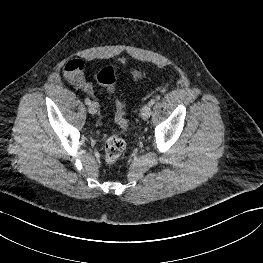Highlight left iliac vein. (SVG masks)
Wrapping results in <instances>:
<instances>
[{"instance_id":"left-iliac-vein-1","label":"left iliac vein","mask_w":263,"mask_h":263,"mask_svg":"<svg viewBox=\"0 0 263 263\" xmlns=\"http://www.w3.org/2000/svg\"><path fill=\"white\" fill-rule=\"evenodd\" d=\"M151 115V106L149 104L145 105L141 110V117L143 120H147Z\"/></svg>"}]
</instances>
